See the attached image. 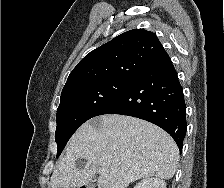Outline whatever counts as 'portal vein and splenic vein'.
<instances>
[{
    "label": "portal vein and splenic vein",
    "instance_id": "obj_1",
    "mask_svg": "<svg viewBox=\"0 0 224 188\" xmlns=\"http://www.w3.org/2000/svg\"><path fill=\"white\" fill-rule=\"evenodd\" d=\"M98 172H99V174H105L106 173L104 169H99Z\"/></svg>",
    "mask_w": 224,
    "mask_h": 188
}]
</instances>
